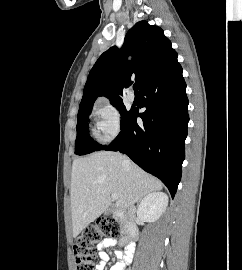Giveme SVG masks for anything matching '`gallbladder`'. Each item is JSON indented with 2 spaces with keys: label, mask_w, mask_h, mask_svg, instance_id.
<instances>
[{
  "label": "gallbladder",
  "mask_w": 242,
  "mask_h": 270,
  "mask_svg": "<svg viewBox=\"0 0 242 270\" xmlns=\"http://www.w3.org/2000/svg\"><path fill=\"white\" fill-rule=\"evenodd\" d=\"M108 214H109V212L107 211V212H106V215H108Z\"/></svg>",
  "instance_id": "gallbladder-1"
}]
</instances>
